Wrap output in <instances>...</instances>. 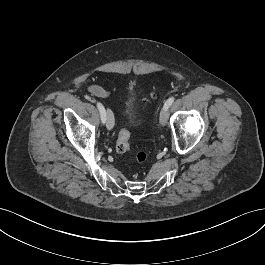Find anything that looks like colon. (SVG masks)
<instances>
[{"label":"colon","mask_w":265,"mask_h":265,"mask_svg":"<svg viewBox=\"0 0 265 265\" xmlns=\"http://www.w3.org/2000/svg\"><path fill=\"white\" fill-rule=\"evenodd\" d=\"M129 150H130V133L128 130L122 129L119 132V135L116 141V151L118 153L123 154V153H127ZM134 158H135L136 163L142 164L147 160L148 155L144 151H139L135 154Z\"/></svg>","instance_id":"1"}]
</instances>
